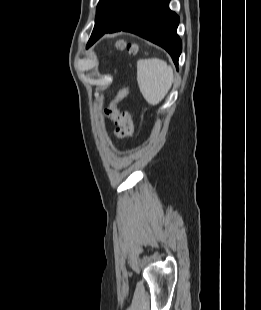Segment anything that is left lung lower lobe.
<instances>
[{
    "label": "left lung lower lobe",
    "mask_w": 261,
    "mask_h": 310,
    "mask_svg": "<svg viewBox=\"0 0 261 310\" xmlns=\"http://www.w3.org/2000/svg\"><path fill=\"white\" fill-rule=\"evenodd\" d=\"M170 0H122L114 17L95 24L87 47L105 33L128 31L163 47L178 64L182 44L177 35L179 17L169 9Z\"/></svg>",
    "instance_id": "obj_1"
}]
</instances>
